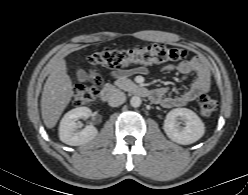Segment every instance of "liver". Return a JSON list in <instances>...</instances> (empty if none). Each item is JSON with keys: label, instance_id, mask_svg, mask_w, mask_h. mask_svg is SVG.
Instances as JSON below:
<instances>
[{"label": "liver", "instance_id": "6515ba94", "mask_svg": "<svg viewBox=\"0 0 248 195\" xmlns=\"http://www.w3.org/2000/svg\"><path fill=\"white\" fill-rule=\"evenodd\" d=\"M74 94L72 80L63 58L51 66L41 97V114L47 128H53Z\"/></svg>", "mask_w": 248, "mask_h": 195}]
</instances>
